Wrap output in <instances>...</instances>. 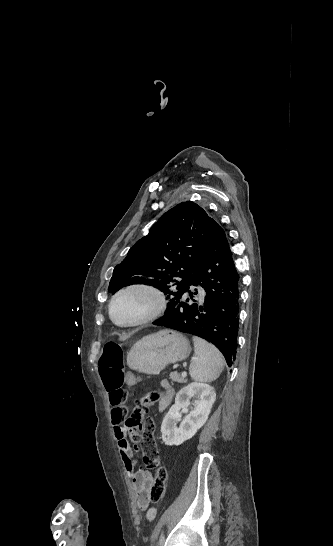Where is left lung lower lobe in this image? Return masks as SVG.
<instances>
[{"mask_svg":"<svg viewBox=\"0 0 333 546\" xmlns=\"http://www.w3.org/2000/svg\"><path fill=\"white\" fill-rule=\"evenodd\" d=\"M200 285L206 292L203 302L190 286ZM173 307L154 322L183 333L204 338L224 355L229 367L236 357L239 328V274L229 242L218 225L211 247L191 275L186 289L174 296Z\"/></svg>","mask_w":333,"mask_h":546,"instance_id":"0a47b994","label":"left lung lower lobe"}]
</instances>
